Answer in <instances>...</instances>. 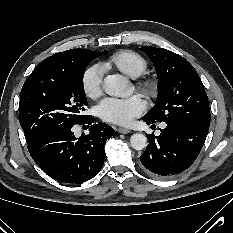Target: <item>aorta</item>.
<instances>
[{"label":"aorta","instance_id":"obj_1","mask_svg":"<svg viewBox=\"0 0 233 233\" xmlns=\"http://www.w3.org/2000/svg\"><path fill=\"white\" fill-rule=\"evenodd\" d=\"M104 91L110 96L126 97L132 93L130 82L122 75H108L104 80ZM130 144L135 150H143L147 146V137L136 133L130 138Z\"/></svg>","mask_w":233,"mask_h":233}]
</instances>
